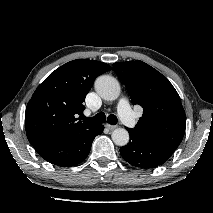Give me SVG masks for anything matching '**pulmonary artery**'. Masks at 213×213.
<instances>
[{"label":"pulmonary artery","mask_w":213,"mask_h":213,"mask_svg":"<svg viewBox=\"0 0 213 213\" xmlns=\"http://www.w3.org/2000/svg\"><path fill=\"white\" fill-rule=\"evenodd\" d=\"M118 113L123 123L128 127H134L136 124L135 118L130 109L129 103L122 98L118 103Z\"/></svg>","instance_id":"1"}]
</instances>
